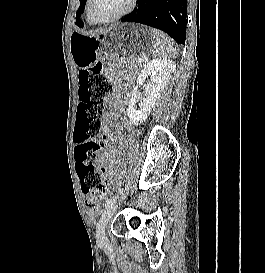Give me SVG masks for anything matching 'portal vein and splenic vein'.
<instances>
[{"instance_id": "18ae733b", "label": "portal vein and splenic vein", "mask_w": 265, "mask_h": 273, "mask_svg": "<svg viewBox=\"0 0 265 273\" xmlns=\"http://www.w3.org/2000/svg\"><path fill=\"white\" fill-rule=\"evenodd\" d=\"M144 61L147 62L148 61V57L145 56L144 57Z\"/></svg>"}]
</instances>
